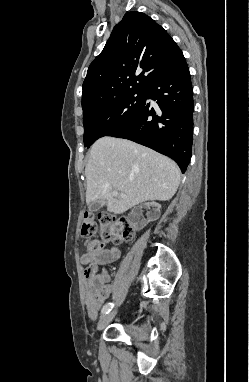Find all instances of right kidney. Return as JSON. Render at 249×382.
I'll return each instance as SVG.
<instances>
[{
    "label": "right kidney",
    "instance_id": "1",
    "mask_svg": "<svg viewBox=\"0 0 249 382\" xmlns=\"http://www.w3.org/2000/svg\"><path fill=\"white\" fill-rule=\"evenodd\" d=\"M160 208L161 205L158 203L152 201H145L144 204L132 210V213L129 216L132 220V226L135 227L136 230H143L149 222L155 221L160 217ZM147 211L150 212L147 213ZM146 213L147 219H145L144 217H140L141 214Z\"/></svg>",
    "mask_w": 249,
    "mask_h": 382
}]
</instances>
